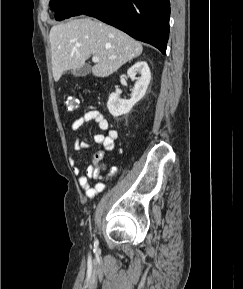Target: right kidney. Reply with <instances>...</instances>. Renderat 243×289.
<instances>
[{
	"instance_id": "obj_1",
	"label": "right kidney",
	"mask_w": 243,
	"mask_h": 289,
	"mask_svg": "<svg viewBox=\"0 0 243 289\" xmlns=\"http://www.w3.org/2000/svg\"><path fill=\"white\" fill-rule=\"evenodd\" d=\"M137 73L140 74V77L135 83L134 90L129 100L121 99L117 93L110 94L107 108L114 117L129 113L132 107L144 97L151 79V73L147 62L138 61L127 71V75L131 80L136 79L135 76Z\"/></svg>"
}]
</instances>
